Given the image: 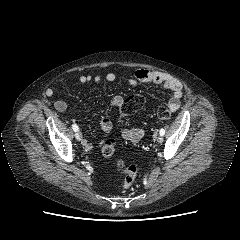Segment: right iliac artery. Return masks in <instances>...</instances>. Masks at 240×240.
<instances>
[{"label": "right iliac artery", "mask_w": 240, "mask_h": 240, "mask_svg": "<svg viewBox=\"0 0 240 240\" xmlns=\"http://www.w3.org/2000/svg\"><path fill=\"white\" fill-rule=\"evenodd\" d=\"M72 128H73L74 131H78L79 130L78 126L75 125V124L72 125Z\"/></svg>", "instance_id": "1"}]
</instances>
